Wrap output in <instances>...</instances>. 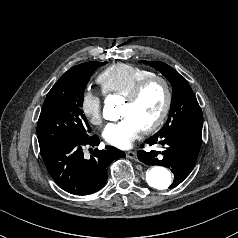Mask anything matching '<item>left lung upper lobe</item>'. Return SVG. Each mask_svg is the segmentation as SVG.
Segmentation results:
<instances>
[{"instance_id":"5c2ea615","label":"left lung upper lobe","mask_w":238,"mask_h":238,"mask_svg":"<svg viewBox=\"0 0 238 238\" xmlns=\"http://www.w3.org/2000/svg\"><path fill=\"white\" fill-rule=\"evenodd\" d=\"M160 71L173 89L171 109L166 124L156 134L186 127H202L203 115L197 99L186 79L163 62L141 61Z\"/></svg>"}]
</instances>
